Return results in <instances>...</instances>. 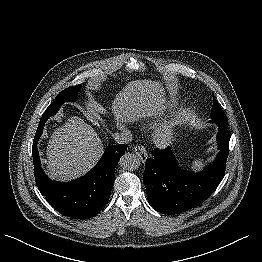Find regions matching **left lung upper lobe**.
I'll return each instance as SVG.
<instances>
[{"instance_id": "5c2ea615", "label": "left lung upper lobe", "mask_w": 262, "mask_h": 262, "mask_svg": "<svg viewBox=\"0 0 262 262\" xmlns=\"http://www.w3.org/2000/svg\"><path fill=\"white\" fill-rule=\"evenodd\" d=\"M213 106L210 114V118L212 122L220 123L221 121H226L227 117L224 113V111L221 109V107L218 104V101L213 98Z\"/></svg>"}]
</instances>
